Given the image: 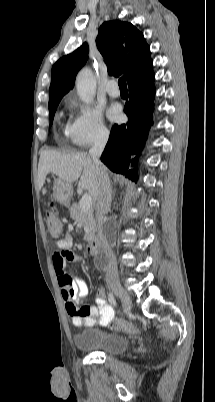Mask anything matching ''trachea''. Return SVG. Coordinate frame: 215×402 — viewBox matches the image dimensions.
<instances>
[{"instance_id": "3493384b", "label": "trachea", "mask_w": 215, "mask_h": 402, "mask_svg": "<svg viewBox=\"0 0 215 402\" xmlns=\"http://www.w3.org/2000/svg\"><path fill=\"white\" fill-rule=\"evenodd\" d=\"M120 89H127L126 78L121 77L118 81Z\"/></svg>"}]
</instances>
